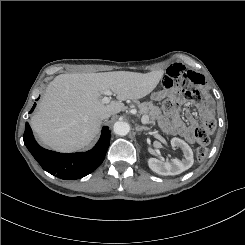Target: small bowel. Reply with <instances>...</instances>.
Instances as JSON below:
<instances>
[{
	"instance_id": "c3829d8e",
	"label": "small bowel",
	"mask_w": 245,
	"mask_h": 245,
	"mask_svg": "<svg viewBox=\"0 0 245 245\" xmlns=\"http://www.w3.org/2000/svg\"><path fill=\"white\" fill-rule=\"evenodd\" d=\"M163 86L166 89H171L172 94L176 95L175 86H180V89L185 92V99L191 102L199 103L203 99V93L200 90L193 89V86L198 88L205 87V79L200 73L191 71L186 67L176 64L172 65L165 72ZM193 89V90H192ZM201 114L208 117L212 114V109L209 105L201 107ZM187 125L180 119L177 111L161 117L159 124L161 128L174 135L184 137L188 142H194V130L198 125V120L192 114L187 113Z\"/></svg>"
}]
</instances>
